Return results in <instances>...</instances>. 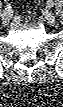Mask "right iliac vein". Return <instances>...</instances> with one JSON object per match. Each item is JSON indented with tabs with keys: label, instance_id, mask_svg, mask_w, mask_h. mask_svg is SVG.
Returning <instances> with one entry per match:
<instances>
[{
	"label": "right iliac vein",
	"instance_id": "63e3f726",
	"mask_svg": "<svg viewBox=\"0 0 63 107\" xmlns=\"http://www.w3.org/2000/svg\"><path fill=\"white\" fill-rule=\"evenodd\" d=\"M2 21H3L4 25H7L9 23V21H10V18L8 16H6V15H3Z\"/></svg>",
	"mask_w": 63,
	"mask_h": 107
}]
</instances>
